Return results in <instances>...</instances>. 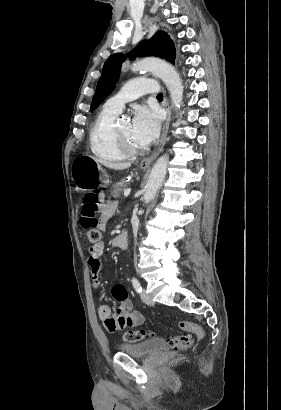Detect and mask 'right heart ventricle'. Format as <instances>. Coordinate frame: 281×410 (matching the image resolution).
<instances>
[{"label": "right heart ventricle", "mask_w": 281, "mask_h": 410, "mask_svg": "<svg viewBox=\"0 0 281 410\" xmlns=\"http://www.w3.org/2000/svg\"><path fill=\"white\" fill-rule=\"evenodd\" d=\"M118 114L119 112L104 105L89 131V144L92 154L105 162L121 161L126 157V154L114 138V127Z\"/></svg>", "instance_id": "1"}]
</instances>
